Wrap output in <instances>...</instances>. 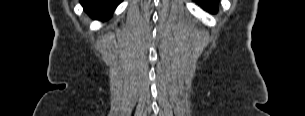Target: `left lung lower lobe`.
<instances>
[{
	"label": "left lung lower lobe",
	"mask_w": 305,
	"mask_h": 116,
	"mask_svg": "<svg viewBox=\"0 0 305 116\" xmlns=\"http://www.w3.org/2000/svg\"><path fill=\"white\" fill-rule=\"evenodd\" d=\"M197 4H199L204 10L210 13L217 12V0H194Z\"/></svg>",
	"instance_id": "1"
}]
</instances>
